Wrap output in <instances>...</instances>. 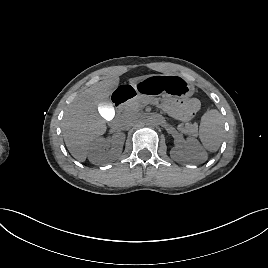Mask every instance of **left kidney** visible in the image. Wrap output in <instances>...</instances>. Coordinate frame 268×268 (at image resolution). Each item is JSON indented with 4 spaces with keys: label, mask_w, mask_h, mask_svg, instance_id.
Segmentation results:
<instances>
[{
    "label": "left kidney",
    "mask_w": 268,
    "mask_h": 268,
    "mask_svg": "<svg viewBox=\"0 0 268 268\" xmlns=\"http://www.w3.org/2000/svg\"><path fill=\"white\" fill-rule=\"evenodd\" d=\"M170 156L176 161L188 163H201L207 159V153L194 137H188L186 141L178 143L171 149Z\"/></svg>",
    "instance_id": "5707ae66"
}]
</instances>
